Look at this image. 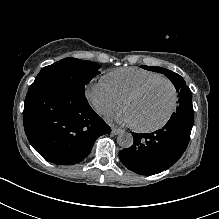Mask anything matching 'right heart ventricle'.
<instances>
[{
  "label": "right heart ventricle",
  "instance_id": "e07e8e85",
  "mask_svg": "<svg viewBox=\"0 0 219 219\" xmlns=\"http://www.w3.org/2000/svg\"><path fill=\"white\" fill-rule=\"evenodd\" d=\"M157 78H161L158 73L127 67L109 72L103 80L106 81L113 94L123 102L129 93L144 83Z\"/></svg>",
  "mask_w": 219,
  "mask_h": 219
}]
</instances>
